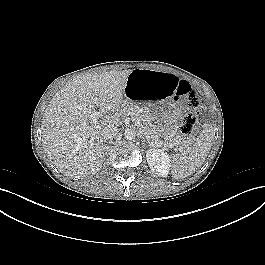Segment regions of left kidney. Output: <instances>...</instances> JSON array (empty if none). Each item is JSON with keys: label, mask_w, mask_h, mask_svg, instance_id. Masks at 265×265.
Returning <instances> with one entry per match:
<instances>
[{"label": "left kidney", "mask_w": 265, "mask_h": 265, "mask_svg": "<svg viewBox=\"0 0 265 265\" xmlns=\"http://www.w3.org/2000/svg\"><path fill=\"white\" fill-rule=\"evenodd\" d=\"M146 159L152 172L160 177H167L171 167L170 157L161 149H149Z\"/></svg>", "instance_id": "5707ae66"}]
</instances>
